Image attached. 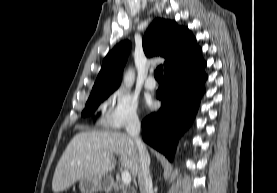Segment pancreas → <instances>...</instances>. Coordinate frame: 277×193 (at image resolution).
<instances>
[{"label":"pancreas","instance_id":"obj_1","mask_svg":"<svg viewBox=\"0 0 277 193\" xmlns=\"http://www.w3.org/2000/svg\"><path fill=\"white\" fill-rule=\"evenodd\" d=\"M113 189L120 193H136L134 188H130L128 185L120 182H115L113 184Z\"/></svg>","mask_w":277,"mask_h":193}]
</instances>
